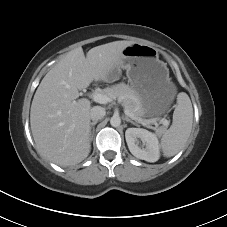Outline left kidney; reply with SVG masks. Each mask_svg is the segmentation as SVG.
I'll use <instances>...</instances> for the list:
<instances>
[{
  "instance_id": "1",
  "label": "left kidney",
  "mask_w": 227,
  "mask_h": 227,
  "mask_svg": "<svg viewBox=\"0 0 227 227\" xmlns=\"http://www.w3.org/2000/svg\"><path fill=\"white\" fill-rule=\"evenodd\" d=\"M125 138L130 152L137 158L147 162H156L160 157L159 141L154 133L142 128H128ZM139 139L145 148L139 146Z\"/></svg>"
}]
</instances>
